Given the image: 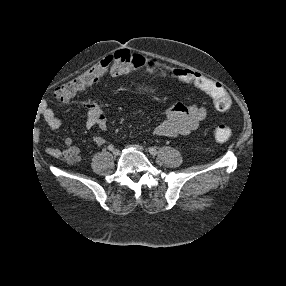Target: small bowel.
<instances>
[{"label": "small bowel", "instance_id": "obj_1", "mask_svg": "<svg viewBox=\"0 0 286 286\" xmlns=\"http://www.w3.org/2000/svg\"><path fill=\"white\" fill-rule=\"evenodd\" d=\"M86 108V127L99 129L100 133L93 138V143L102 146L106 141L104 133L108 125L107 118L97 104H87ZM206 115V108L199 104L175 105L166 111L165 119L154 128V134L161 137L188 136L199 128ZM43 117L52 130L61 125V119L51 109H46ZM65 146L69 153V161L79 162L81 160L80 149L71 138L65 140ZM57 153L56 150H51L52 155Z\"/></svg>", "mask_w": 286, "mask_h": 286}]
</instances>
